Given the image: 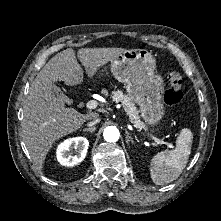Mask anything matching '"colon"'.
<instances>
[{
  "mask_svg": "<svg viewBox=\"0 0 221 221\" xmlns=\"http://www.w3.org/2000/svg\"><path fill=\"white\" fill-rule=\"evenodd\" d=\"M167 80L170 86L164 93L163 103L168 109H173L179 105L183 99V78L178 71L169 70Z\"/></svg>",
  "mask_w": 221,
  "mask_h": 221,
  "instance_id": "5ec220e1",
  "label": "colon"
}]
</instances>
